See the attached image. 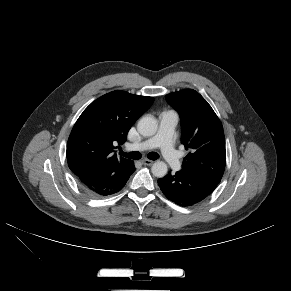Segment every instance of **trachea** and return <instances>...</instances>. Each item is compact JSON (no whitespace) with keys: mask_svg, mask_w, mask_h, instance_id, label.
<instances>
[{"mask_svg":"<svg viewBox=\"0 0 291 291\" xmlns=\"http://www.w3.org/2000/svg\"><path fill=\"white\" fill-rule=\"evenodd\" d=\"M120 155L133 159V160H139L141 158V153L138 151L130 152V153H125L123 151L120 152ZM148 158L151 160H157L159 158V155L156 152H150L148 155Z\"/></svg>","mask_w":291,"mask_h":291,"instance_id":"3493384b","label":"trachea"}]
</instances>
